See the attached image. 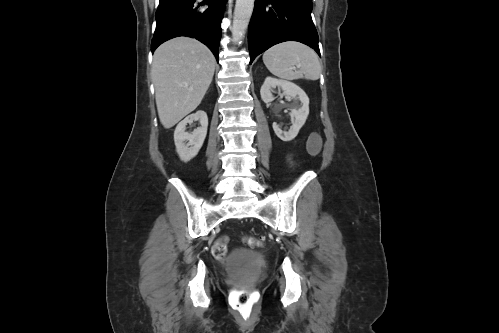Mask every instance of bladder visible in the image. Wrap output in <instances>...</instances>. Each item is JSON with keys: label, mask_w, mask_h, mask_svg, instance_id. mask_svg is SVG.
I'll return each instance as SVG.
<instances>
[{"label": "bladder", "mask_w": 499, "mask_h": 333, "mask_svg": "<svg viewBox=\"0 0 499 333\" xmlns=\"http://www.w3.org/2000/svg\"><path fill=\"white\" fill-rule=\"evenodd\" d=\"M258 257L250 252H236L230 261V267L242 275H249L256 265Z\"/></svg>", "instance_id": "1"}]
</instances>
